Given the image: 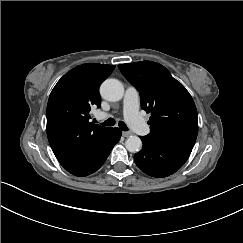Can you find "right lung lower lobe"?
<instances>
[{"label":"right lung lower lobe","mask_w":243,"mask_h":243,"mask_svg":"<svg viewBox=\"0 0 243 243\" xmlns=\"http://www.w3.org/2000/svg\"><path fill=\"white\" fill-rule=\"evenodd\" d=\"M121 133L118 128H111L85 156L64 168L78 177L96 172L105 162L114 145L119 142Z\"/></svg>","instance_id":"right-lung-lower-lobe-1"}]
</instances>
